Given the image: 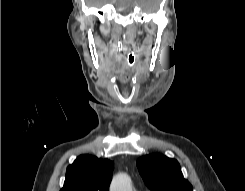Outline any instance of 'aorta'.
Returning <instances> with one entry per match:
<instances>
[{
	"mask_svg": "<svg viewBox=\"0 0 245 191\" xmlns=\"http://www.w3.org/2000/svg\"><path fill=\"white\" fill-rule=\"evenodd\" d=\"M110 191H132L130 177L125 173L117 174L111 182Z\"/></svg>",
	"mask_w": 245,
	"mask_h": 191,
	"instance_id": "762f6f07",
	"label": "aorta"
}]
</instances>
